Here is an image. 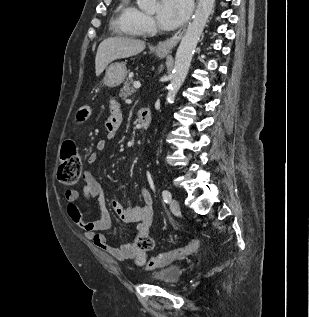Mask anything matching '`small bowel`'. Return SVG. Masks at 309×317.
<instances>
[{"label": "small bowel", "mask_w": 309, "mask_h": 317, "mask_svg": "<svg viewBox=\"0 0 309 317\" xmlns=\"http://www.w3.org/2000/svg\"><path fill=\"white\" fill-rule=\"evenodd\" d=\"M120 106L112 102L111 115L106 121L105 139L96 144L98 152L105 150L107 142L114 141L117 138L119 126L121 123ZM98 154L91 153L87 158L89 165L97 162ZM84 186L82 193L76 190H68L65 194L66 211L71 221L77 225L83 232V235L90 240L98 249L115 258L118 261L131 259L136 254L134 243L123 244L114 247L108 244L104 231L111 227V217L109 212L101 205L103 200V189L94 175L89 171L83 173ZM140 196L142 205L125 207L118 201L111 202V208L117 217L127 224L138 223L139 233H147L153 220V198L147 189H141ZM97 200L99 202V218L97 220H87L83 215L78 202Z\"/></svg>", "instance_id": "small-bowel-1"}]
</instances>
